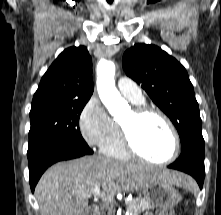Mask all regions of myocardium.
Segmentation results:
<instances>
[{
	"mask_svg": "<svg viewBox=\"0 0 221 215\" xmlns=\"http://www.w3.org/2000/svg\"><path fill=\"white\" fill-rule=\"evenodd\" d=\"M131 113L135 119H140L150 114H154L160 117L161 120L166 124L173 138V150L168 158L161 161H155L148 158L147 156L142 154L140 150L136 147L130 129L126 125L120 122L119 129H120L121 141L126 152L130 156H133L135 158H138L142 161L154 165L163 166L172 163L178 157L180 152V137L170 118L160 109L148 105H138L131 110Z\"/></svg>",
	"mask_w": 221,
	"mask_h": 215,
	"instance_id": "myocardium-1",
	"label": "myocardium"
}]
</instances>
